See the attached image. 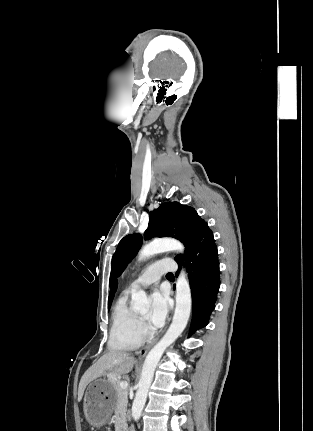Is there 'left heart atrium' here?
<instances>
[{"mask_svg": "<svg viewBox=\"0 0 313 431\" xmlns=\"http://www.w3.org/2000/svg\"><path fill=\"white\" fill-rule=\"evenodd\" d=\"M168 310L169 303L167 296L160 291L154 292L151 295L150 326L154 329L161 327L166 320Z\"/></svg>", "mask_w": 313, "mask_h": 431, "instance_id": "39dd6f15", "label": "left heart atrium"}]
</instances>
